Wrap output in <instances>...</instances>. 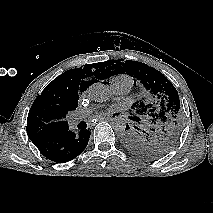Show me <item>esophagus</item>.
Wrapping results in <instances>:
<instances>
[{"instance_id": "34e87169", "label": "esophagus", "mask_w": 213, "mask_h": 213, "mask_svg": "<svg viewBox=\"0 0 213 213\" xmlns=\"http://www.w3.org/2000/svg\"><path fill=\"white\" fill-rule=\"evenodd\" d=\"M112 116L111 115H107V116H99L96 118L97 121H101V120H104V119H111Z\"/></svg>"}]
</instances>
